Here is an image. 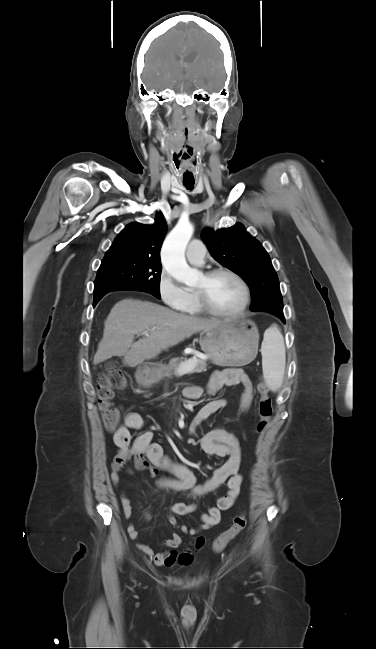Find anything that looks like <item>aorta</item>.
<instances>
[{"label": "aorta", "instance_id": "762f6f07", "mask_svg": "<svg viewBox=\"0 0 376 649\" xmlns=\"http://www.w3.org/2000/svg\"><path fill=\"white\" fill-rule=\"evenodd\" d=\"M193 231L190 222L180 220L166 237L161 251L164 269L174 279L187 285L195 283L199 276V271L189 267L185 259V249Z\"/></svg>", "mask_w": 376, "mask_h": 649}]
</instances>
